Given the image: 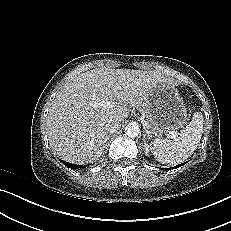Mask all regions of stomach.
I'll return each mask as SVG.
<instances>
[{"mask_svg":"<svg viewBox=\"0 0 231 231\" xmlns=\"http://www.w3.org/2000/svg\"><path fill=\"white\" fill-rule=\"evenodd\" d=\"M143 110L150 133L162 135L184 126L188 113L183 98L170 84L159 82L147 96Z\"/></svg>","mask_w":231,"mask_h":231,"instance_id":"1","label":"stomach"}]
</instances>
